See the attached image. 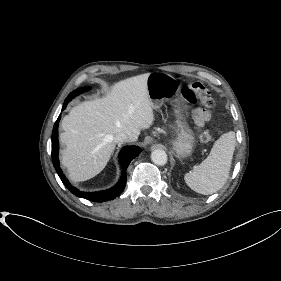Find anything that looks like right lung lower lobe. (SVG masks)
Here are the masks:
<instances>
[{
  "label": "right lung lower lobe",
  "instance_id": "obj_1",
  "mask_svg": "<svg viewBox=\"0 0 281 281\" xmlns=\"http://www.w3.org/2000/svg\"><path fill=\"white\" fill-rule=\"evenodd\" d=\"M72 96H68L65 99L64 105L62 110L66 108L67 103L72 99ZM61 118V115L58 117L54 128L52 132V161L53 165L56 169V172L58 173L60 179L62 180L63 184L68 188V190L73 193L77 197H81L90 201L94 202H105L107 200H113L116 198L119 194H121L126 186V169L130 162L139 155L141 152V149L136 146H128L121 150L119 153V161L123 168L122 176L113 188L105 191L100 192H92V193H86L81 192L77 188L73 187L69 181L66 179L65 175L63 174L60 165H59V159H58V152H59V141H58V124L59 120Z\"/></svg>",
  "mask_w": 281,
  "mask_h": 281
}]
</instances>
